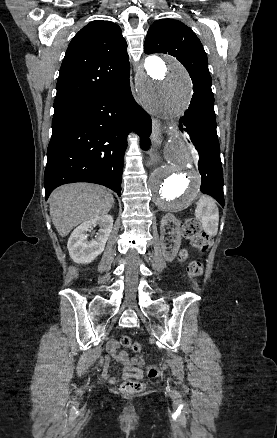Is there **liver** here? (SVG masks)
Listing matches in <instances>:
<instances>
[{
  "mask_svg": "<svg viewBox=\"0 0 277 438\" xmlns=\"http://www.w3.org/2000/svg\"><path fill=\"white\" fill-rule=\"evenodd\" d=\"M51 220L61 238L78 224L108 214L114 198L106 188L95 184H66L50 196Z\"/></svg>",
  "mask_w": 277,
  "mask_h": 438,
  "instance_id": "liver-1",
  "label": "liver"
}]
</instances>
